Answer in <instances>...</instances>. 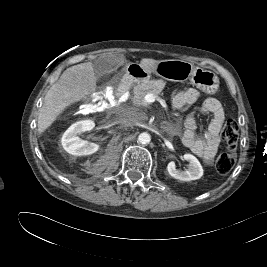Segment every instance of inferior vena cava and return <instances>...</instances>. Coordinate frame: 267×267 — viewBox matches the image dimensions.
Here are the masks:
<instances>
[{
    "label": "inferior vena cava",
    "mask_w": 267,
    "mask_h": 267,
    "mask_svg": "<svg viewBox=\"0 0 267 267\" xmlns=\"http://www.w3.org/2000/svg\"><path fill=\"white\" fill-rule=\"evenodd\" d=\"M118 123L125 127H133L137 124L136 112L130 108H123L119 111Z\"/></svg>",
    "instance_id": "inferior-vena-cava-1"
}]
</instances>
